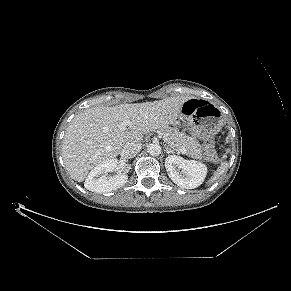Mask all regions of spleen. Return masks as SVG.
Returning a JSON list of instances; mask_svg holds the SVG:
<instances>
[{
    "mask_svg": "<svg viewBox=\"0 0 291 291\" xmlns=\"http://www.w3.org/2000/svg\"><path fill=\"white\" fill-rule=\"evenodd\" d=\"M227 166H228L227 162H221V165L218 167L213 177L208 181V184H212L215 180H217L225 172Z\"/></svg>",
    "mask_w": 291,
    "mask_h": 291,
    "instance_id": "3e777b00",
    "label": "spleen"
}]
</instances>
